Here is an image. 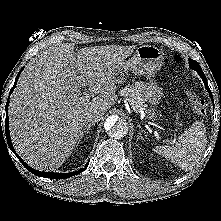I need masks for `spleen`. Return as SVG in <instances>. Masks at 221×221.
Masks as SVG:
<instances>
[{
  "instance_id": "3e777b00",
  "label": "spleen",
  "mask_w": 221,
  "mask_h": 221,
  "mask_svg": "<svg viewBox=\"0 0 221 221\" xmlns=\"http://www.w3.org/2000/svg\"><path fill=\"white\" fill-rule=\"evenodd\" d=\"M206 130L201 122H195L179 136L173 146H157L154 152L171 160L183 170L192 169L199 161L206 146Z\"/></svg>"
}]
</instances>
